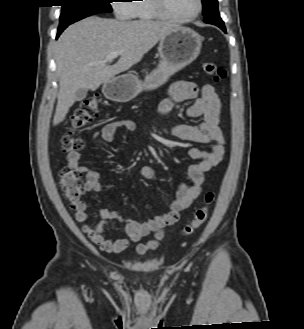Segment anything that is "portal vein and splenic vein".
<instances>
[{"label": "portal vein and splenic vein", "instance_id": "portal-vein-and-splenic-vein-1", "mask_svg": "<svg viewBox=\"0 0 304 329\" xmlns=\"http://www.w3.org/2000/svg\"><path fill=\"white\" fill-rule=\"evenodd\" d=\"M121 53H118V52H113V53H110L107 55L106 59H105V62H111L113 61L114 59H116L118 56H120Z\"/></svg>", "mask_w": 304, "mask_h": 329}]
</instances>
